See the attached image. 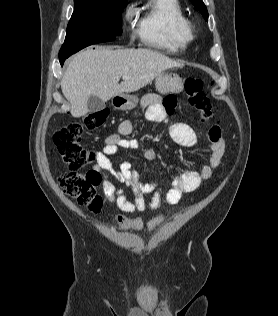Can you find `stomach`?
I'll list each match as a JSON object with an SVG mask.
<instances>
[{
  "instance_id": "0dacf381",
  "label": "stomach",
  "mask_w": 278,
  "mask_h": 316,
  "mask_svg": "<svg viewBox=\"0 0 278 316\" xmlns=\"http://www.w3.org/2000/svg\"><path fill=\"white\" fill-rule=\"evenodd\" d=\"M160 94L178 93L183 89L182 78L174 73H160L155 80ZM138 98L134 95L119 94L112 98V105L118 110H130L137 106Z\"/></svg>"
}]
</instances>
